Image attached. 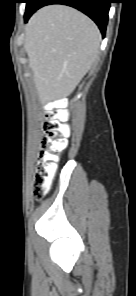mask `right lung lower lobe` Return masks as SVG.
Wrapping results in <instances>:
<instances>
[{"instance_id":"obj_1","label":"right lung lower lobe","mask_w":136,"mask_h":296,"mask_svg":"<svg viewBox=\"0 0 136 296\" xmlns=\"http://www.w3.org/2000/svg\"><path fill=\"white\" fill-rule=\"evenodd\" d=\"M111 0H34L32 9L25 14V22L39 8L49 4H65L74 7L89 16L99 27L102 36H105L108 22V12Z\"/></svg>"}]
</instances>
